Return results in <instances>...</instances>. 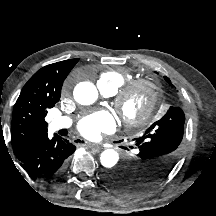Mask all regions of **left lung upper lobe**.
I'll use <instances>...</instances> for the list:
<instances>
[{
    "instance_id": "obj_1",
    "label": "left lung upper lobe",
    "mask_w": 216,
    "mask_h": 216,
    "mask_svg": "<svg viewBox=\"0 0 216 216\" xmlns=\"http://www.w3.org/2000/svg\"><path fill=\"white\" fill-rule=\"evenodd\" d=\"M164 79L173 86L167 77ZM184 124L182 109L170 106L160 120L154 122L141 137L134 139L137 154L125 162L124 173L109 180L113 189L124 196L137 195L167 177L181 154Z\"/></svg>"
}]
</instances>
